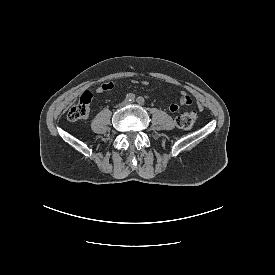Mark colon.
<instances>
[{
    "mask_svg": "<svg viewBox=\"0 0 275 275\" xmlns=\"http://www.w3.org/2000/svg\"><path fill=\"white\" fill-rule=\"evenodd\" d=\"M93 95L90 91L84 92L76 104L72 105L67 112V118L70 121L76 122L85 119L89 113V105ZM196 123V114L192 111L180 114L176 118V124L179 128L190 130Z\"/></svg>",
    "mask_w": 275,
    "mask_h": 275,
    "instance_id": "obj_1",
    "label": "colon"
}]
</instances>
